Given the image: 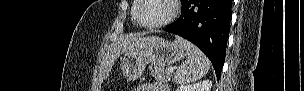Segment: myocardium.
Listing matches in <instances>:
<instances>
[{
	"label": "myocardium",
	"mask_w": 304,
	"mask_h": 91,
	"mask_svg": "<svg viewBox=\"0 0 304 91\" xmlns=\"http://www.w3.org/2000/svg\"><path fill=\"white\" fill-rule=\"evenodd\" d=\"M169 5L171 6V12L170 14L161 20L160 22L154 23V24H144L140 21L138 12L142 6L143 0H137L136 1V6L133 11V18L136 24H138L142 28L146 29H157L161 28L164 26L169 25L170 23L174 22L180 15L181 13V5L179 0H166Z\"/></svg>",
	"instance_id": "f54148a6"
}]
</instances>
